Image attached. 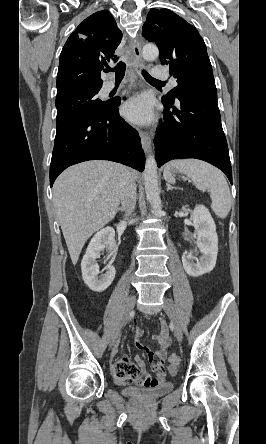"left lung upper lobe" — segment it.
Returning <instances> with one entry per match:
<instances>
[{
	"label": "left lung upper lobe",
	"instance_id": "1",
	"mask_svg": "<svg viewBox=\"0 0 266 444\" xmlns=\"http://www.w3.org/2000/svg\"><path fill=\"white\" fill-rule=\"evenodd\" d=\"M142 35L157 44L161 64L170 65L177 79L163 100L173 104L182 96L217 95L206 45L194 26L168 9H151Z\"/></svg>",
	"mask_w": 266,
	"mask_h": 444
}]
</instances>
